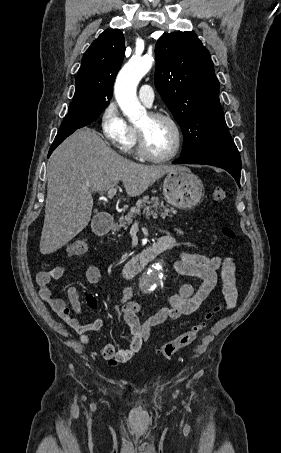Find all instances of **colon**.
I'll return each instance as SVG.
<instances>
[{"label": "colon", "mask_w": 281, "mask_h": 453, "mask_svg": "<svg viewBox=\"0 0 281 453\" xmlns=\"http://www.w3.org/2000/svg\"><path fill=\"white\" fill-rule=\"evenodd\" d=\"M228 194L225 187H217L210 194V201L213 204H222ZM221 233L231 237L233 231L229 227H223ZM88 243L84 238H75L67 242L64 246V252L67 257L84 258L88 253ZM221 310V306H215L212 310L205 313L203 318L197 322L188 332L179 334L174 340L165 343L160 348L162 359L168 360L172 358L178 350L186 349L191 346L199 336L207 329L214 315Z\"/></svg>", "instance_id": "colon-1"}]
</instances>
